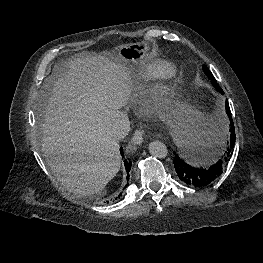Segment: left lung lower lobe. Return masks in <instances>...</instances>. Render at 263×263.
I'll use <instances>...</instances> for the list:
<instances>
[{
    "instance_id": "left-lung-lower-lobe-1",
    "label": "left lung lower lobe",
    "mask_w": 263,
    "mask_h": 263,
    "mask_svg": "<svg viewBox=\"0 0 263 263\" xmlns=\"http://www.w3.org/2000/svg\"><path fill=\"white\" fill-rule=\"evenodd\" d=\"M223 93V91H218ZM226 113L230 118L229 125V138L227 146L221 153V156L217 158L213 165L209 167H196L190 158H186L183 151L174 153L173 163L177 176L185 184L197 188L206 187L214 183L225 170L228 161L233 153L235 144V127L231 117V111L228 100L225 102Z\"/></svg>"
}]
</instances>
